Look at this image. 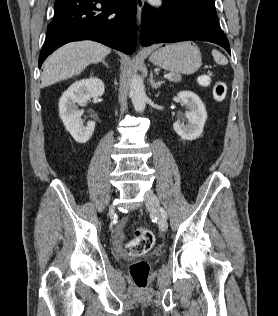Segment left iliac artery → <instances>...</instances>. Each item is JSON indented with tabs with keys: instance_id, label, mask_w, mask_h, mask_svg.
I'll return each mask as SVG.
<instances>
[{
	"instance_id": "1",
	"label": "left iliac artery",
	"mask_w": 278,
	"mask_h": 316,
	"mask_svg": "<svg viewBox=\"0 0 278 316\" xmlns=\"http://www.w3.org/2000/svg\"><path fill=\"white\" fill-rule=\"evenodd\" d=\"M160 211H161V213H162V216H163L164 218H167V214H166L165 210H164L163 208H161Z\"/></svg>"
}]
</instances>
